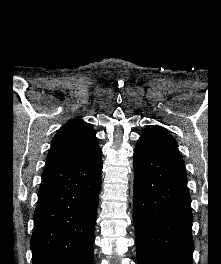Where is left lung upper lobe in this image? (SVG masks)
Here are the masks:
<instances>
[{
	"label": "left lung upper lobe",
	"instance_id": "5c2ea615",
	"mask_svg": "<svg viewBox=\"0 0 221 264\" xmlns=\"http://www.w3.org/2000/svg\"><path fill=\"white\" fill-rule=\"evenodd\" d=\"M138 141L150 144L166 154L181 158L176 140L161 126L146 127Z\"/></svg>",
	"mask_w": 221,
	"mask_h": 264
}]
</instances>
